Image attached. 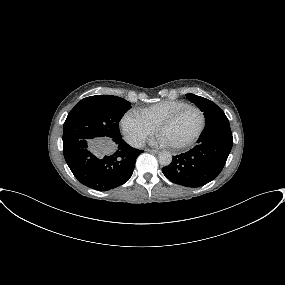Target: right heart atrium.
I'll list each match as a JSON object with an SVG mask.
<instances>
[{"mask_svg": "<svg viewBox=\"0 0 285 285\" xmlns=\"http://www.w3.org/2000/svg\"><path fill=\"white\" fill-rule=\"evenodd\" d=\"M121 128L132 146H141L155 132V127L146 122L135 111H128L123 115Z\"/></svg>", "mask_w": 285, "mask_h": 285, "instance_id": "d8ad5b80", "label": "right heart atrium"}]
</instances>
